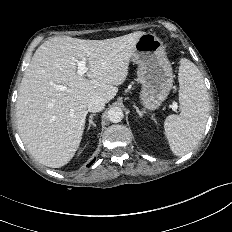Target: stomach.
Returning <instances> with one entry per match:
<instances>
[{
    "instance_id": "1",
    "label": "stomach",
    "mask_w": 232,
    "mask_h": 232,
    "mask_svg": "<svg viewBox=\"0 0 232 232\" xmlns=\"http://www.w3.org/2000/svg\"><path fill=\"white\" fill-rule=\"evenodd\" d=\"M131 59L138 65L142 103L147 109H157L167 98L174 81L162 41L155 34L145 33L137 41Z\"/></svg>"
}]
</instances>
